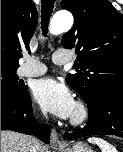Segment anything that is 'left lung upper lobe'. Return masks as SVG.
<instances>
[{
    "label": "left lung upper lobe",
    "instance_id": "left-lung-upper-lobe-1",
    "mask_svg": "<svg viewBox=\"0 0 123 152\" xmlns=\"http://www.w3.org/2000/svg\"><path fill=\"white\" fill-rule=\"evenodd\" d=\"M75 24L62 38L66 49H75L77 73L66 82L88 104L109 89L123 90V15L107 0H63Z\"/></svg>",
    "mask_w": 123,
    "mask_h": 152
}]
</instances>
